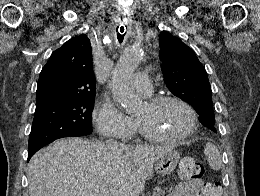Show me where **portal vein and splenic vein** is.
I'll return each instance as SVG.
<instances>
[{
  "label": "portal vein and splenic vein",
  "mask_w": 260,
  "mask_h": 196,
  "mask_svg": "<svg viewBox=\"0 0 260 196\" xmlns=\"http://www.w3.org/2000/svg\"><path fill=\"white\" fill-rule=\"evenodd\" d=\"M95 196H104V194H95Z\"/></svg>",
  "instance_id": "obj_1"
}]
</instances>
